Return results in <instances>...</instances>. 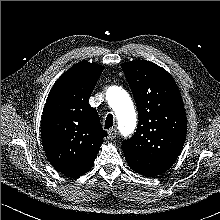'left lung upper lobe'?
<instances>
[{
	"label": "left lung upper lobe",
	"mask_w": 220,
	"mask_h": 220,
	"mask_svg": "<svg viewBox=\"0 0 220 220\" xmlns=\"http://www.w3.org/2000/svg\"><path fill=\"white\" fill-rule=\"evenodd\" d=\"M138 108L137 131L122 150L137 173L155 177L175 162L185 142L187 119L179 89L162 67L146 60L122 64Z\"/></svg>",
	"instance_id": "obj_1"
}]
</instances>
